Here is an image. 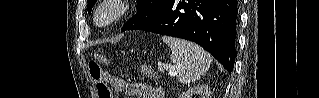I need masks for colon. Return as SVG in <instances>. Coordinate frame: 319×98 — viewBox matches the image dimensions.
Instances as JSON below:
<instances>
[{"instance_id": "obj_1", "label": "colon", "mask_w": 319, "mask_h": 98, "mask_svg": "<svg viewBox=\"0 0 319 98\" xmlns=\"http://www.w3.org/2000/svg\"><path fill=\"white\" fill-rule=\"evenodd\" d=\"M102 63H106V58L103 56H100L98 61L89 63V73L93 81L96 83L99 98H111V92L106 85L105 72L101 66ZM140 72L149 78L157 77L156 72L149 65H142L140 67Z\"/></svg>"}]
</instances>
